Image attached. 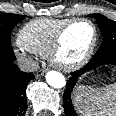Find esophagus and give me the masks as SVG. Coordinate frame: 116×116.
I'll return each instance as SVG.
<instances>
[{"label": "esophagus", "mask_w": 116, "mask_h": 116, "mask_svg": "<svg viewBox=\"0 0 116 116\" xmlns=\"http://www.w3.org/2000/svg\"><path fill=\"white\" fill-rule=\"evenodd\" d=\"M46 71H47L46 69L38 70L37 73H36V77L43 76L46 73Z\"/></svg>", "instance_id": "34e87169"}]
</instances>
